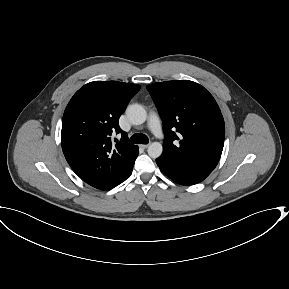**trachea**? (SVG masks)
<instances>
[{
  "mask_svg": "<svg viewBox=\"0 0 289 289\" xmlns=\"http://www.w3.org/2000/svg\"><path fill=\"white\" fill-rule=\"evenodd\" d=\"M129 142L133 144H148L149 140L145 134L136 133L131 136Z\"/></svg>",
  "mask_w": 289,
  "mask_h": 289,
  "instance_id": "obj_1",
  "label": "trachea"
}]
</instances>
